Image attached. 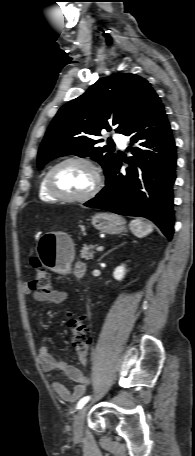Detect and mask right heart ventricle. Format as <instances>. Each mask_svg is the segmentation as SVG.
Instances as JSON below:
<instances>
[{"label": "right heart ventricle", "mask_w": 195, "mask_h": 456, "mask_svg": "<svg viewBox=\"0 0 195 456\" xmlns=\"http://www.w3.org/2000/svg\"><path fill=\"white\" fill-rule=\"evenodd\" d=\"M46 174L47 173H45L42 176V178L40 179L39 186H38V194H39V197L41 200L47 201V202H52V201H55L56 199L53 196H51L46 189V186H45Z\"/></svg>", "instance_id": "1"}]
</instances>
